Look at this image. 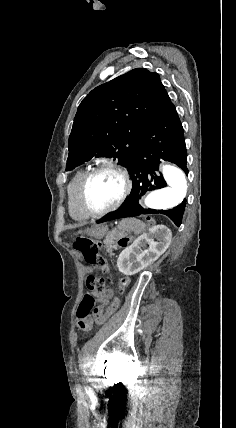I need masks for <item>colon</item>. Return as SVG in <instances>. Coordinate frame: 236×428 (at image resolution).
<instances>
[{
  "label": "colon",
  "instance_id": "obj_1",
  "mask_svg": "<svg viewBox=\"0 0 236 428\" xmlns=\"http://www.w3.org/2000/svg\"><path fill=\"white\" fill-rule=\"evenodd\" d=\"M128 242L129 239L127 237H120L116 246L117 248H122L125 247ZM100 246L101 243L98 240L88 237H78L73 243L74 249L82 255L88 265L96 267L106 274H109L110 270L108 262L99 252ZM107 281H110V279H104L93 275L86 278V287L89 290V293L84 296L77 310V324L81 328L86 327L92 315L95 314L97 316V321L99 323H103L118 309L122 295L129 284V278L124 277L120 279L118 292L113 298L111 304L103 312H98V308L95 307V296L104 290Z\"/></svg>",
  "mask_w": 236,
  "mask_h": 428
}]
</instances>
